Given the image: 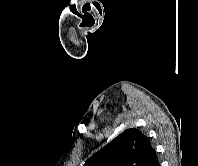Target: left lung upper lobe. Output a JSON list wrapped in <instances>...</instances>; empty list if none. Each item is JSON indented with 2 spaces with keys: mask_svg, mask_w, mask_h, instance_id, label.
Segmentation results:
<instances>
[{
  "mask_svg": "<svg viewBox=\"0 0 198 166\" xmlns=\"http://www.w3.org/2000/svg\"><path fill=\"white\" fill-rule=\"evenodd\" d=\"M156 158L149 138L131 128L97 151L84 166H151Z\"/></svg>",
  "mask_w": 198,
  "mask_h": 166,
  "instance_id": "5c2ea615",
  "label": "left lung upper lobe"
}]
</instances>
